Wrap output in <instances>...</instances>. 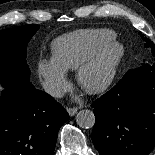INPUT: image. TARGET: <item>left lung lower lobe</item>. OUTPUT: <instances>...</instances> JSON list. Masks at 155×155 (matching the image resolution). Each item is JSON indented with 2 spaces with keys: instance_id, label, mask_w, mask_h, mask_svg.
I'll return each mask as SVG.
<instances>
[{
  "instance_id": "0a47b994",
  "label": "left lung lower lobe",
  "mask_w": 155,
  "mask_h": 155,
  "mask_svg": "<svg viewBox=\"0 0 155 155\" xmlns=\"http://www.w3.org/2000/svg\"><path fill=\"white\" fill-rule=\"evenodd\" d=\"M92 107L100 155H148L155 146V65L128 70Z\"/></svg>"
}]
</instances>
